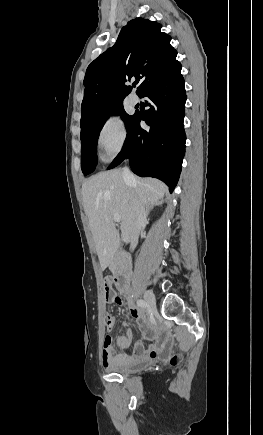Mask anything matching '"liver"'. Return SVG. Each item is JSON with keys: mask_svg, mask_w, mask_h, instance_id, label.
Here are the masks:
<instances>
[{"mask_svg": "<svg viewBox=\"0 0 263 435\" xmlns=\"http://www.w3.org/2000/svg\"><path fill=\"white\" fill-rule=\"evenodd\" d=\"M134 178L128 184L122 172L115 169L95 174L82 184L83 207L102 270L111 263L120 243L113 216L121 217V238L128 243L134 199L148 209L161 204L167 191L159 180Z\"/></svg>", "mask_w": 263, "mask_h": 435, "instance_id": "obj_1", "label": "liver"}]
</instances>
